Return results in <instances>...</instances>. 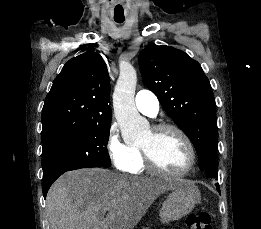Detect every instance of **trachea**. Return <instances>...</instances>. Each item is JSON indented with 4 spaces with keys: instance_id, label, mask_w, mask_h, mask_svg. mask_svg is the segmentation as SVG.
<instances>
[{
    "instance_id": "3493384b",
    "label": "trachea",
    "mask_w": 261,
    "mask_h": 229,
    "mask_svg": "<svg viewBox=\"0 0 261 229\" xmlns=\"http://www.w3.org/2000/svg\"><path fill=\"white\" fill-rule=\"evenodd\" d=\"M114 20L117 23H122V22H124L125 18L124 17H114Z\"/></svg>"
}]
</instances>
